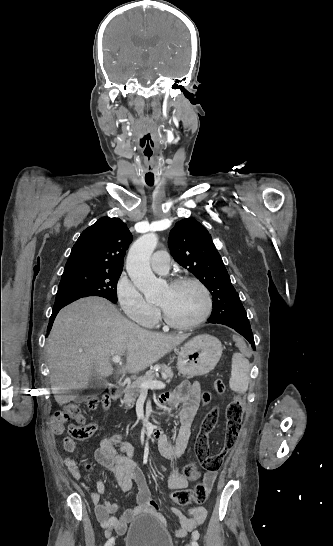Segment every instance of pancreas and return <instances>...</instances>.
Masks as SVG:
<instances>
[{"label": "pancreas", "mask_w": 333, "mask_h": 546, "mask_svg": "<svg viewBox=\"0 0 333 546\" xmlns=\"http://www.w3.org/2000/svg\"><path fill=\"white\" fill-rule=\"evenodd\" d=\"M155 368L161 369L163 376H165L168 380H171L173 377V372L171 367L161 364L156 365ZM151 368L149 371L145 373V375L140 376L134 380V382L124 389V398L123 403L127 407H133V405L136 402L137 397L139 396L141 392L140 384L143 381H154L157 377V374L155 373L154 369Z\"/></svg>", "instance_id": "cf45deb5"}]
</instances>
